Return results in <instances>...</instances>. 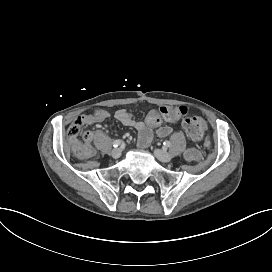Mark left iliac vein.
I'll use <instances>...</instances> for the list:
<instances>
[{
	"mask_svg": "<svg viewBox=\"0 0 272 272\" xmlns=\"http://www.w3.org/2000/svg\"><path fill=\"white\" fill-rule=\"evenodd\" d=\"M155 156L158 160L168 163L172 160V155L168 152L161 150V149H155Z\"/></svg>",
	"mask_w": 272,
	"mask_h": 272,
	"instance_id": "obj_1",
	"label": "left iliac vein"
}]
</instances>
